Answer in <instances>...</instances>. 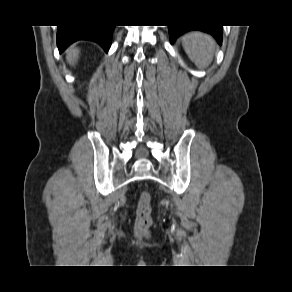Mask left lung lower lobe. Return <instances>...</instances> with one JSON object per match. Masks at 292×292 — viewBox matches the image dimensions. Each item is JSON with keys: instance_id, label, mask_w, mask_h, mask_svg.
Returning a JSON list of instances; mask_svg holds the SVG:
<instances>
[{"instance_id": "0a47b994", "label": "left lung lower lobe", "mask_w": 292, "mask_h": 292, "mask_svg": "<svg viewBox=\"0 0 292 292\" xmlns=\"http://www.w3.org/2000/svg\"><path fill=\"white\" fill-rule=\"evenodd\" d=\"M169 27L170 41L174 43L177 37L191 30H200L211 34L216 41L222 43V26L211 25H171Z\"/></svg>"}]
</instances>
